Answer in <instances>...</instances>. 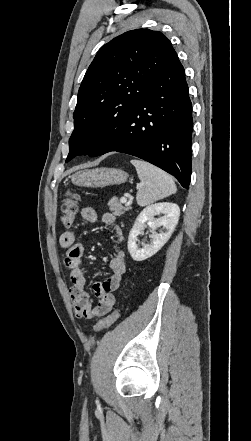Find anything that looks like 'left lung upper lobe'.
Masks as SVG:
<instances>
[{
  "mask_svg": "<svg viewBox=\"0 0 251 441\" xmlns=\"http://www.w3.org/2000/svg\"><path fill=\"white\" fill-rule=\"evenodd\" d=\"M174 53L166 36L148 29L125 32L101 47L78 91L66 162L90 156L96 130L124 121Z\"/></svg>",
  "mask_w": 251,
  "mask_h": 441,
  "instance_id": "left-lung-upper-lobe-1",
  "label": "left lung upper lobe"
}]
</instances>
